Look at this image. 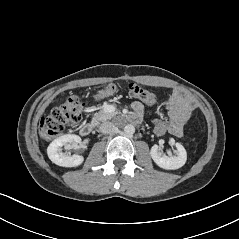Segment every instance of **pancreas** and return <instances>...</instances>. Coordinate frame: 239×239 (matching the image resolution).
<instances>
[{"mask_svg": "<svg viewBox=\"0 0 239 239\" xmlns=\"http://www.w3.org/2000/svg\"><path fill=\"white\" fill-rule=\"evenodd\" d=\"M113 116H114L113 113H107L104 110H100L99 112L95 114L92 121L98 124L99 122H104L108 119H111Z\"/></svg>", "mask_w": 239, "mask_h": 239, "instance_id": "obj_1", "label": "pancreas"}]
</instances>
